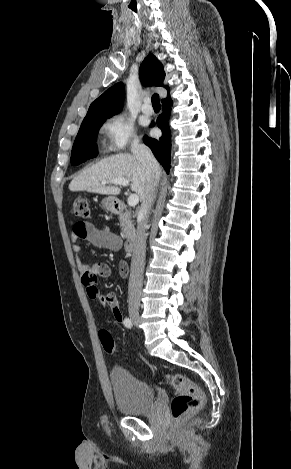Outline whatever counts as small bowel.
<instances>
[{"label": "small bowel", "instance_id": "1", "mask_svg": "<svg viewBox=\"0 0 291 469\" xmlns=\"http://www.w3.org/2000/svg\"><path fill=\"white\" fill-rule=\"evenodd\" d=\"M71 240L73 242L72 251L74 253L77 269L81 275V281L86 289L88 297L91 299H103L105 306L110 307L115 322L124 324V317L120 309L117 295L113 292L106 295L100 294L97 287L99 279L110 276V267L105 263H98L92 266L84 265L81 262V246L78 244V241L86 240L95 247L117 251L122 245L121 238L110 231L106 226L95 225L89 221H79L73 226Z\"/></svg>", "mask_w": 291, "mask_h": 469}]
</instances>
